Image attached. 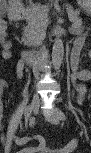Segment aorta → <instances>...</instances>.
I'll return each instance as SVG.
<instances>
[{
  "mask_svg": "<svg viewBox=\"0 0 91 153\" xmlns=\"http://www.w3.org/2000/svg\"><path fill=\"white\" fill-rule=\"evenodd\" d=\"M64 56V46L63 41L57 38L54 42L52 49V63L55 69H58L63 61Z\"/></svg>",
  "mask_w": 91,
  "mask_h": 153,
  "instance_id": "aorta-1",
  "label": "aorta"
}]
</instances>
